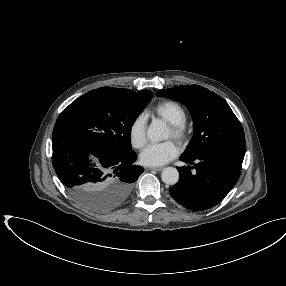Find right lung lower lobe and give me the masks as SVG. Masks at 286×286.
Listing matches in <instances>:
<instances>
[{"label": "right lung lower lobe", "instance_id": "1", "mask_svg": "<svg viewBox=\"0 0 286 286\" xmlns=\"http://www.w3.org/2000/svg\"><path fill=\"white\" fill-rule=\"evenodd\" d=\"M53 167L74 198L112 209L130 194L143 172L134 165L137 155L130 150H113L82 139L75 131L56 122L52 135ZM98 158L93 164L88 155Z\"/></svg>", "mask_w": 286, "mask_h": 286}]
</instances>
